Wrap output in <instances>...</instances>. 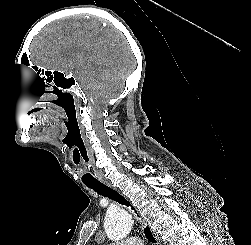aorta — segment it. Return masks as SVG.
I'll list each match as a JSON object with an SVG mask.
<instances>
[{
  "label": "aorta",
  "mask_w": 251,
  "mask_h": 245,
  "mask_svg": "<svg viewBox=\"0 0 251 245\" xmlns=\"http://www.w3.org/2000/svg\"><path fill=\"white\" fill-rule=\"evenodd\" d=\"M132 228V217L126 211L115 209L107 212L105 218V232L110 240L119 241L125 238Z\"/></svg>",
  "instance_id": "aorta-1"
}]
</instances>
